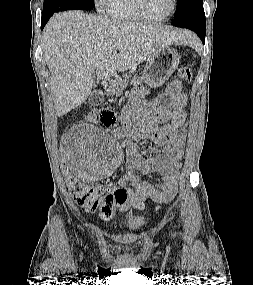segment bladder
<instances>
[{
	"label": "bladder",
	"instance_id": "obj_1",
	"mask_svg": "<svg viewBox=\"0 0 253 285\" xmlns=\"http://www.w3.org/2000/svg\"><path fill=\"white\" fill-rule=\"evenodd\" d=\"M147 225V217L143 213L133 212L125 215L118 223V231L126 235H135Z\"/></svg>",
	"mask_w": 253,
	"mask_h": 285
}]
</instances>
